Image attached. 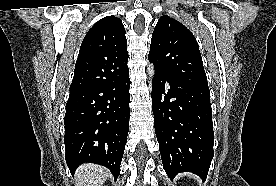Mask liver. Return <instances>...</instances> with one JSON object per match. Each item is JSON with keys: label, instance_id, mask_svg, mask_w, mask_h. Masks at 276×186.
<instances>
[{"label": "liver", "instance_id": "6515ba94", "mask_svg": "<svg viewBox=\"0 0 276 186\" xmlns=\"http://www.w3.org/2000/svg\"><path fill=\"white\" fill-rule=\"evenodd\" d=\"M77 186H102L109 173L102 166L95 164H85L77 171Z\"/></svg>", "mask_w": 276, "mask_h": 186}]
</instances>
